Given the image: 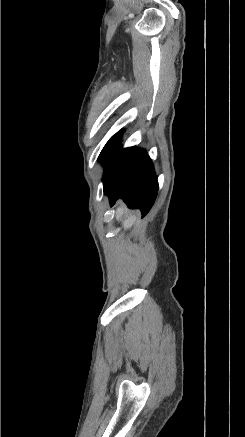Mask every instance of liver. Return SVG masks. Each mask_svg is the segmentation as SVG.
Returning <instances> with one entry per match:
<instances>
[{
	"mask_svg": "<svg viewBox=\"0 0 245 437\" xmlns=\"http://www.w3.org/2000/svg\"><path fill=\"white\" fill-rule=\"evenodd\" d=\"M124 212H125V207L122 206L118 207L116 210V219L120 220ZM135 220H136L135 215L128 216L122 223L123 228L125 230L129 229L134 224Z\"/></svg>",
	"mask_w": 245,
	"mask_h": 437,
	"instance_id": "6515ba94",
	"label": "liver"
}]
</instances>
